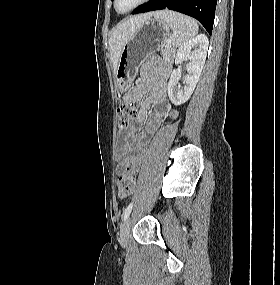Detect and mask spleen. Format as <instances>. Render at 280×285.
Listing matches in <instances>:
<instances>
[{
    "label": "spleen",
    "mask_w": 280,
    "mask_h": 285,
    "mask_svg": "<svg viewBox=\"0 0 280 285\" xmlns=\"http://www.w3.org/2000/svg\"><path fill=\"white\" fill-rule=\"evenodd\" d=\"M155 17L165 20L172 29L173 45L176 47L191 40L198 33L197 22L180 13L164 10L157 12Z\"/></svg>",
    "instance_id": "obj_1"
}]
</instances>
